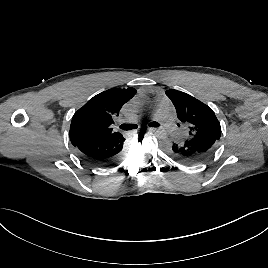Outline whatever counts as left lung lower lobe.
Wrapping results in <instances>:
<instances>
[{
    "label": "left lung lower lobe",
    "instance_id": "1",
    "mask_svg": "<svg viewBox=\"0 0 268 268\" xmlns=\"http://www.w3.org/2000/svg\"><path fill=\"white\" fill-rule=\"evenodd\" d=\"M218 140L213 137H188L182 141L170 142L166 151L174 160L195 165L207 160L215 151Z\"/></svg>",
    "mask_w": 268,
    "mask_h": 268
}]
</instances>
